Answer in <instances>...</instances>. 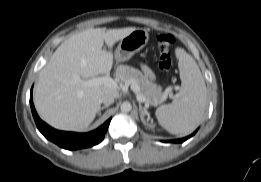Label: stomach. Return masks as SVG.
Returning a JSON list of instances; mask_svg holds the SVG:
<instances>
[{
	"label": "stomach",
	"instance_id": "1",
	"mask_svg": "<svg viewBox=\"0 0 261 182\" xmlns=\"http://www.w3.org/2000/svg\"><path fill=\"white\" fill-rule=\"evenodd\" d=\"M149 40V34L146 29L137 28L130 34L122 38L114 52V58L117 62L129 60L135 53L144 48Z\"/></svg>",
	"mask_w": 261,
	"mask_h": 182
}]
</instances>
